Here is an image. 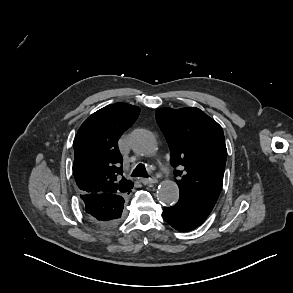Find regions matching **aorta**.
<instances>
[{"label": "aorta", "mask_w": 293, "mask_h": 293, "mask_svg": "<svg viewBox=\"0 0 293 293\" xmlns=\"http://www.w3.org/2000/svg\"><path fill=\"white\" fill-rule=\"evenodd\" d=\"M130 143L135 152L143 156H153L157 151V141L154 135L145 129L135 130L130 137ZM161 203L170 206L179 199V189L173 181H163L157 191Z\"/></svg>", "instance_id": "obj_1"}]
</instances>
